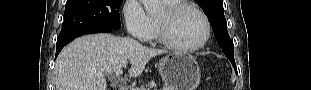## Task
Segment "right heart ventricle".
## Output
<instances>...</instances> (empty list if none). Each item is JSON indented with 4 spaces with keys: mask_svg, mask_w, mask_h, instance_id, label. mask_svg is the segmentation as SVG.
I'll list each match as a JSON object with an SVG mask.
<instances>
[{
    "mask_svg": "<svg viewBox=\"0 0 311 90\" xmlns=\"http://www.w3.org/2000/svg\"><path fill=\"white\" fill-rule=\"evenodd\" d=\"M165 3L167 4L168 7L173 6L175 4H178L179 1H167L165 0ZM152 33L150 36V39H157L158 38V33H157V23H156V19L152 18Z\"/></svg>",
    "mask_w": 311,
    "mask_h": 90,
    "instance_id": "right-heart-ventricle-1",
    "label": "right heart ventricle"
}]
</instances>
